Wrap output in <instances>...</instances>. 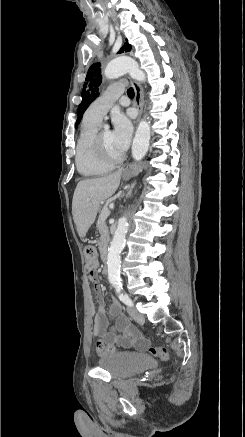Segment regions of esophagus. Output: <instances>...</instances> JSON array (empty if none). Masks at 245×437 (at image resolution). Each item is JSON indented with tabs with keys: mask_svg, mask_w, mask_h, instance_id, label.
<instances>
[{
	"mask_svg": "<svg viewBox=\"0 0 245 437\" xmlns=\"http://www.w3.org/2000/svg\"><path fill=\"white\" fill-rule=\"evenodd\" d=\"M131 84L134 88L135 91V97H134V105L136 106L137 110H138V118L136 123H138L141 113H142V89L141 86L139 85V83H137L134 80H131Z\"/></svg>",
	"mask_w": 245,
	"mask_h": 437,
	"instance_id": "34e87169",
	"label": "esophagus"
}]
</instances>
